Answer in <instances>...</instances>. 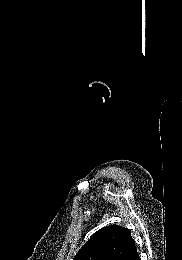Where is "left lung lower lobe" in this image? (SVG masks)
<instances>
[{
    "instance_id": "obj_1",
    "label": "left lung lower lobe",
    "mask_w": 182,
    "mask_h": 260,
    "mask_svg": "<svg viewBox=\"0 0 182 260\" xmlns=\"http://www.w3.org/2000/svg\"><path fill=\"white\" fill-rule=\"evenodd\" d=\"M124 260H141L140 256L137 253V249L136 246L134 245V247L130 250V252L128 253V255L125 257Z\"/></svg>"
}]
</instances>
